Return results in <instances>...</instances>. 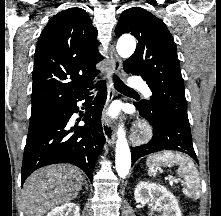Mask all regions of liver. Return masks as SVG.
I'll list each match as a JSON object with an SVG mask.
<instances>
[{
  "label": "liver",
  "instance_id": "obj_1",
  "mask_svg": "<svg viewBox=\"0 0 221 216\" xmlns=\"http://www.w3.org/2000/svg\"><path fill=\"white\" fill-rule=\"evenodd\" d=\"M84 177L74 166L56 164L32 173L23 185L25 216H43L49 210L75 199Z\"/></svg>",
  "mask_w": 221,
  "mask_h": 216
}]
</instances>
